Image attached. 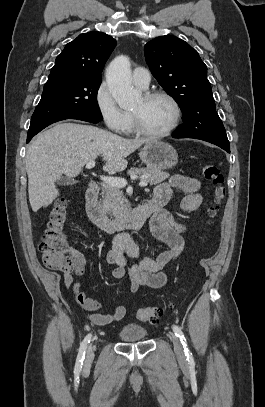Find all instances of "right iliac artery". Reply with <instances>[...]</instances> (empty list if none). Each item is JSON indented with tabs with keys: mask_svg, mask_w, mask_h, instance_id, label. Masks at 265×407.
Here are the masks:
<instances>
[{
	"mask_svg": "<svg viewBox=\"0 0 265 407\" xmlns=\"http://www.w3.org/2000/svg\"><path fill=\"white\" fill-rule=\"evenodd\" d=\"M91 337H92V334H88L80 345L79 352H78L77 359H76V364H75L76 372L80 371L82 368L83 360L85 359L86 349L88 347V344L90 343Z\"/></svg>",
	"mask_w": 265,
	"mask_h": 407,
	"instance_id": "82829eb1",
	"label": "right iliac artery"
}]
</instances>
